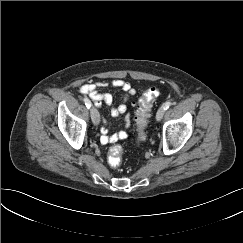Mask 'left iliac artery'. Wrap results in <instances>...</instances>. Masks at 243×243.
<instances>
[{
  "label": "left iliac artery",
  "instance_id": "left-iliac-artery-1",
  "mask_svg": "<svg viewBox=\"0 0 243 243\" xmlns=\"http://www.w3.org/2000/svg\"><path fill=\"white\" fill-rule=\"evenodd\" d=\"M171 106V102L167 101L166 103H164L163 107L165 110H167L169 107Z\"/></svg>",
  "mask_w": 243,
  "mask_h": 243
}]
</instances>
